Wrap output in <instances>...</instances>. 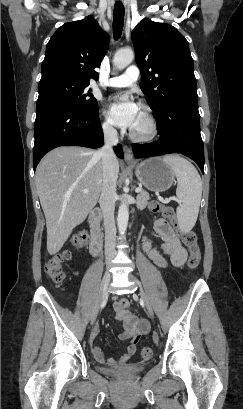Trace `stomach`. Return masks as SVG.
Listing matches in <instances>:
<instances>
[{
    "instance_id": "obj_1",
    "label": "stomach",
    "mask_w": 243,
    "mask_h": 409,
    "mask_svg": "<svg viewBox=\"0 0 243 409\" xmlns=\"http://www.w3.org/2000/svg\"><path fill=\"white\" fill-rule=\"evenodd\" d=\"M135 175L145 188L154 192L166 191L175 179L172 168L159 157L149 158L137 164Z\"/></svg>"
}]
</instances>
